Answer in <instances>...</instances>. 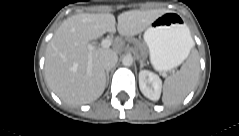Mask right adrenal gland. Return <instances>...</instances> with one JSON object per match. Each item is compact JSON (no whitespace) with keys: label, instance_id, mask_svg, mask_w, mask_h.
Returning a JSON list of instances; mask_svg holds the SVG:
<instances>
[{"label":"right adrenal gland","instance_id":"right-adrenal-gland-1","mask_svg":"<svg viewBox=\"0 0 239 136\" xmlns=\"http://www.w3.org/2000/svg\"><path fill=\"white\" fill-rule=\"evenodd\" d=\"M109 73H110V69H109V70H106V85H108Z\"/></svg>","mask_w":239,"mask_h":136}]
</instances>
